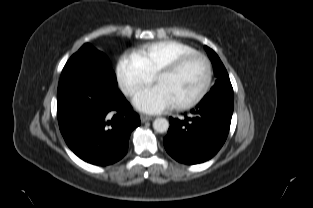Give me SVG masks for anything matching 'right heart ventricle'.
<instances>
[{
    "label": "right heart ventricle",
    "mask_w": 313,
    "mask_h": 208,
    "mask_svg": "<svg viewBox=\"0 0 313 208\" xmlns=\"http://www.w3.org/2000/svg\"><path fill=\"white\" fill-rule=\"evenodd\" d=\"M197 52V50L178 40H162L146 44L136 50L135 55L143 65L155 75L160 68L179 56Z\"/></svg>",
    "instance_id": "e07e8e85"
}]
</instances>
